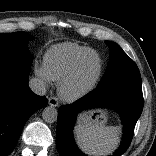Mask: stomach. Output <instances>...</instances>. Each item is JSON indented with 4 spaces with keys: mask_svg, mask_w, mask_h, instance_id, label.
I'll return each mask as SVG.
<instances>
[{
    "mask_svg": "<svg viewBox=\"0 0 156 156\" xmlns=\"http://www.w3.org/2000/svg\"><path fill=\"white\" fill-rule=\"evenodd\" d=\"M81 122H91L98 125H104L107 121V116L105 114L97 115L95 118H92L90 116H86L80 119Z\"/></svg>",
    "mask_w": 156,
    "mask_h": 156,
    "instance_id": "obj_1",
    "label": "stomach"
}]
</instances>
